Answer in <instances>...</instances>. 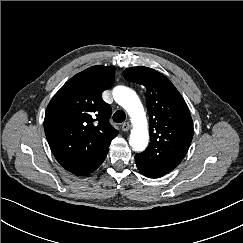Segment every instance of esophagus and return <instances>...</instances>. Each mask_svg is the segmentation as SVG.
<instances>
[{"label":"esophagus","instance_id":"obj_1","mask_svg":"<svg viewBox=\"0 0 243 243\" xmlns=\"http://www.w3.org/2000/svg\"><path fill=\"white\" fill-rule=\"evenodd\" d=\"M121 128L124 132H127L130 129V124L128 122H124Z\"/></svg>","mask_w":243,"mask_h":243}]
</instances>
